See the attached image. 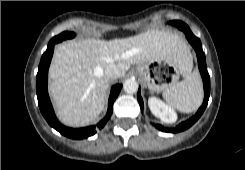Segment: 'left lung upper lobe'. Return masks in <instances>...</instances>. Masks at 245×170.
<instances>
[{
    "mask_svg": "<svg viewBox=\"0 0 245 170\" xmlns=\"http://www.w3.org/2000/svg\"><path fill=\"white\" fill-rule=\"evenodd\" d=\"M181 21H170L169 24L175 25L176 27L180 28Z\"/></svg>",
    "mask_w": 245,
    "mask_h": 170,
    "instance_id": "1",
    "label": "left lung upper lobe"
}]
</instances>
